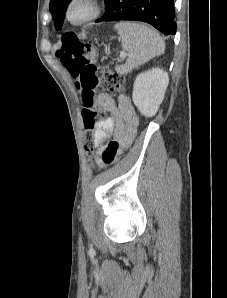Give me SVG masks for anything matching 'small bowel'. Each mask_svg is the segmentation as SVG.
Instances as JSON below:
<instances>
[{
	"label": "small bowel",
	"mask_w": 227,
	"mask_h": 298,
	"mask_svg": "<svg viewBox=\"0 0 227 298\" xmlns=\"http://www.w3.org/2000/svg\"><path fill=\"white\" fill-rule=\"evenodd\" d=\"M98 105L101 111L109 113L110 116L95 126L94 160L102 167H115V162L120 161L121 152L132 144L139 120L126 96H120L116 102L112 96L100 94Z\"/></svg>",
	"instance_id": "small-bowel-1"
}]
</instances>
